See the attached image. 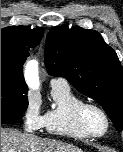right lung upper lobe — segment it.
<instances>
[{
	"label": "right lung upper lobe",
	"instance_id": "1",
	"mask_svg": "<svg viewBox=\"0 0 123 152\" xmlns=\"http://www.w3.org/2000/svg\"><path fill=\"white\" fill-rule=\"evenodd\" d=\"M43 29L27 26H10L1 29V74L11 75L21 82L23 64L29 49L35 47L43 37Z\"/></svg>",
	"mask_w": 123,
	"mask_h": 152
}]
</instances>
